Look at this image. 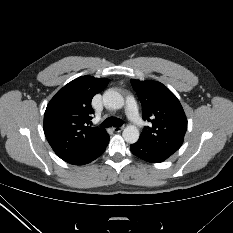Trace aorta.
Instances as JSON below:
<instances>
[{"label":"aorta","instance_id":"obj_1","mask_svg":"<svg viewBox=\"0 0 233 233\" xmlns=\"http://www.w3.org/2000/svg\"><path fill=\"white\" fill-rule=\"evenodd\" d=\"M103 102L109 109H121L124 106L123 96L113 89H108L103 94ZM139 130L135 125H128L123 130L122 136L127 143H135L139 139Z\"/></svg>","mask_w":233,"mask_h":233}]
</instances>
